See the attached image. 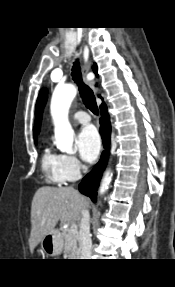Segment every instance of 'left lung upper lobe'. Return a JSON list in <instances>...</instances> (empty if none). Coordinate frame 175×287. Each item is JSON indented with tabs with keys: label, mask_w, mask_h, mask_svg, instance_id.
Wrapping results in <instances>:
<instances>
[{
	"label": "left lung upper lobe",
	"mask_w": 175,
	"mask_h": 287,
	"mask_svg": "<svg viewBox=\"0 0 175 287\" xmlns=\"http://www.w3.org/2000/svg\"><path fill=\"white\" fill-rule=\"evenodd\" d=\"M93 70L97 74V66H96V64H94ZM46 92H47L46 89H42L41 90V93H40V95L38 97L37 104H36V112H35L36 119H35V123H36L37 131L40 130V125H41V120H42V112H43V108H44L46 100H47Z\"/></svg>",
	"instance_id": "5c2ea615"
}]
</instances>
